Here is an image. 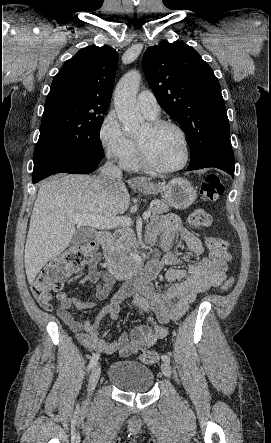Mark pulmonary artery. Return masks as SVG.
I'll return each instance as SVG.
<instances>
[{
  "label": "pulmonary artery",
  "mask_w": 271,
  "mask_h": 443,
  "mask_svg": "<svg viewBox=\"0 0 271 443\" xmlns=\"http://www.w3.org/2000/svg\"><path fill=\"white\" fill-rule=\"evenodd\" d=\"M137 104L147 118L156 117L160 112V106L154 94L149 90H144L139 93L137 96Z\"/></svg>",
  "instance_id": "e3ab8cb5"
}]
</instances>
